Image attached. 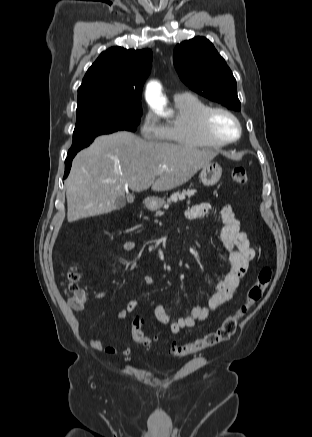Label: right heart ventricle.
I'll return each instance as SVG.
<instances>
[{
    "mask_svg": "<svg viewBox=\"0 0 312 437\" xmlns=\"http://www.w3.org/2000/svg\"><path fill=\"white\" fill-rule=\"evenodd\" d=\"M210 106L192 94L174 99V116L164 124V141L190 148L217 146L205 138L200 129V116Z\"/></svg>",
    "mask_w": 312,
    "mask_h": 437,
    "instance_id": "obj_1",
    "label": "right heart ventricle"
}]
</instances>
